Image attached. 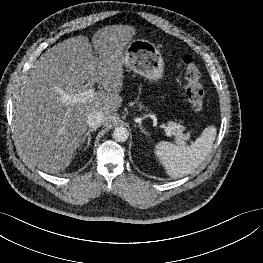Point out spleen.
<instances>
[{"label":"spleen","instance_id":"obj_1","mask_svg":"<svg viewBox=\"0 0 263 263\" xmlns=\"http://www.w3.org/2000/svg\"><path fill=\"white\" fill-rule=\"evenodd\" d=\"M216 133L215 126L211 125L190 146L161 141L156 144L154 152L170 177L181 178L192 173L206 159Z\"/></svg>","mask_w":263,"mask_h":263}]
</instances>
